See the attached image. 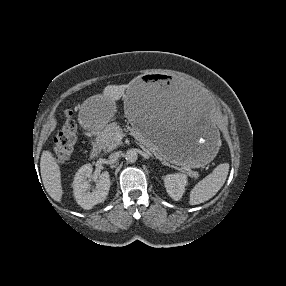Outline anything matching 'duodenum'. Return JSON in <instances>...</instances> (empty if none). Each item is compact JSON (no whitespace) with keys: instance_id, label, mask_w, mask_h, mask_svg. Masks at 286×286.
Listing matches in <instances>:
<instances>
[{"instance_id":"410a0bca","label":"duodenum","mask_w":286,"mask_h":286,"mask_svg":"<svg viewBox=\"0 0 286 286\" xmlns=\"http://www.w3.org/2000/svg\"><path fill=\"white\" fill-rule=\"evenodd\" d=\"M98 155H99V149H98L97 146H95V147H93V148L91 149V151H90V157L93 158V159H95V158L98 157Z\"/></svg>"}]
</instances>
